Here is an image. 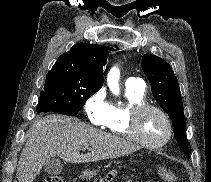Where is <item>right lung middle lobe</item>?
Returning <instances> with one entry per match:
<instances>
[{
	"instance_id": "dd1d6c3e",
	"label": "right lung middle lobe",
	"mask_w": 211,
	"mask_h": 182,
	"mask_svg": "<svg viewBox=\"0 0 211 182\" xmlns=\"http://www.w3.org/2000/svg\"><path fill=\"white\" fill-rule=\"evenodd\" d=\"M102 86L80 81L61 71H49L40 101L52 100L65 114L75 116Z\"/></svg>"
}]
</instances>
